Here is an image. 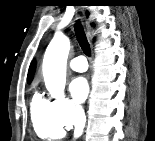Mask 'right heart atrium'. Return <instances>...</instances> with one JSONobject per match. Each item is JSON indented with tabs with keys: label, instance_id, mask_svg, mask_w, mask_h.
Wrapping results in <instances>:
<instances>
[{
	"label": "right heart atrium",
	"instance_id": "right-heart-atrium-1",
	"mask_svg": "<svg viewBox=\"0 0 155 141\" xmlns=\"http://www.w3.org/2000/svg\"><path fill=\"white\" fill-rule=\"evenodd\" d=\"M57 120L65 128L79 124L83 118V110L69 99H56L53 101Z\"/></svg>",
	"mask_w": 155,
	"mask_h": 141
}]
</instances>
